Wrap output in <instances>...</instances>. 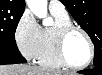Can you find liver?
Here are the masks:
<instances>
[{
    "label": "liver",
    "instance_id": "liver-1",
    "mask_svg": "<svg viewBox=\"0 0 102 75\" xmlns=\"http://www.w3.org/2000/svg\"><path fill=\"white\" fill-rule=\"evenodd\" d=\"M0 75H63V74L61 72L47 70L37 66L15 64L1 66Z\"/></svg>",
    "mask_w": 102,
    "mask_h": 75
}]
</instances>
